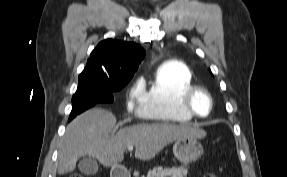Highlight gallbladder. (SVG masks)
Here are the masks:
<instances>
[{
  "label": "gallbladder",
  "mask_w": 287,
  "mask_h": 177,
  "mask_svg": "<svg viewBox=\"0 0 287 177\" xmlns=\"http://www.w3.org/2000/svg\"><path fill=\"white\" fill-rule=\"evenodd\" d=\"M79 170L82 174L91 176L98 172L97 161L91 156L83 157L79 162Z\"/></svg>",
  "instance_id": "1"
}]
</instances>
